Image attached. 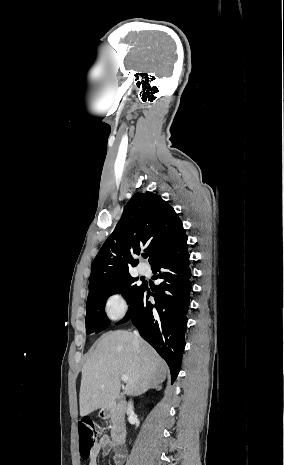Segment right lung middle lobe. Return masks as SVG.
<instances>
[{
    "label": "right lung middle lobe",
    "mask_w": 284,
    "mask_h": 465,
    "mask_svg": "<svg viewBox=\"0 0 284 465\" xmlns=\"http://www.w3.org/2000/svg\"><path fill=\"white\" fill-rule=\"evenodd\" d=\"M137 279L138 278H133L132 276H126L89 292L85 318L87 334L93 332L98 333L110 325V321L104 311L105 301L108 296L115 293H122L128 304L131 303L135 295L144 285L138 286L134 284Z\"/></svg>",
    "instance_id": "right-lung-middle-lobe-1"
}]
</instances>
